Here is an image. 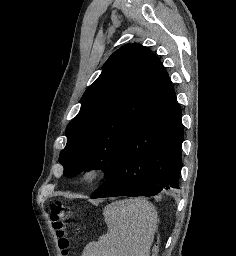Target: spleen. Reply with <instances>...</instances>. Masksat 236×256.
<instances>
[{
  "mask_svg": "<svg viewBox=\"0 0 236 256\" xmlns=\"http://www.w3.org/2000/svg\"><path fill=\"white\" fill-rule=\"evenodd\" d=\"M108 232L89 242L83 256H150L157 212L143 198L118 200L104 208Z\"/></svg>",
  "mask_w": 236,
  "mask_h": 256,
  "instance_id": "obj_1",
  "label": "spleen"
}]
</instances>
